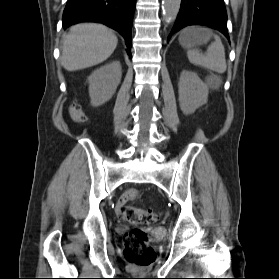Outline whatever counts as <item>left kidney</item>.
Here are the masks:
<instances>
[{
	"label": "left kidney",
	"mask_w": 279,
	"mask_h": 279,
	"mask_svg": "<svg viewBox=\"0 0 279 279\" xmlns=\"http://www.w3.org/2000/svg\"><path fill=\"white\" fill-rule=\"evenodd\" d=\"M178 87L179 105L184 114H192L200 106L207 103L208 86L196 73L187 70L182 71Z\"/></svg>",
	"instance_id": "1"
}]
</instances>
